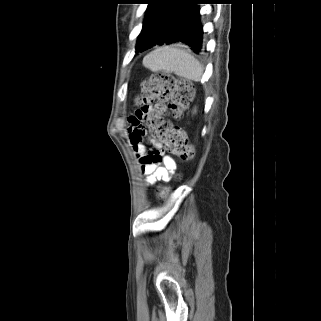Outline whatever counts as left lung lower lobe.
Segmentation results:
<instances>
[{
	"mask_svg": "<svg viewBox=\"0 0 321 321\" xmlns=\"http://www.w3.org/2000/svg\"><path fill=\"white\" fill-rule=\"evenodd\" d=\"M204 2L205 0H179L168 20L163 38L154 46L164 44L186 45L195 53H201L203 51V27L197 4H203Z\"/></svg>",
	"mask_w": 321,
	"mask_h": 321,
	"instance_id": "left-lung-lower-lobe-1",
	"label": "left lung lower lobe"
}]
</instances>
